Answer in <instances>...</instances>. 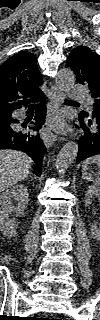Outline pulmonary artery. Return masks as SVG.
Here are the masks:
<instances>
[{
  "label": "pulmonary artery",
  "instance_id": "obj_1",
  "mask_svg": "<svg viewBox=\"0 0 100 320\" xmlns=\"http://www.w3.org/2000/svg\"><path fill=\"white\" fill-rule=\"evenodd\" d=\"M72 95L71 97L75 100H85L88 102V105L90 107L93 106V102L91 101V97H90V94L88 92L87 89L81 87V86H73V90H72Z\"/></svg>",
  "mask_w": 100,
  "mask_h": 320
}]
</instances>
